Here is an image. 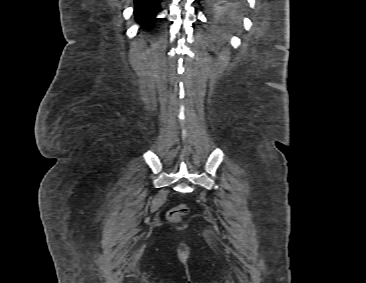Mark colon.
<instances>
[{"label":"colon","instance_id":"5ec220e1","mask_svg":"<svg viewBox=\"0 0 366 283\" xmlns=\"http://www.w3.org/2000/svg\"><path fill=\"white\" fill-rule=\"evenodd\" d=\"M189 213V209L185 204H180L177 207L171 209L168 213V219L170 222H179L182 217Z\"/></svg>","mask_w":366,"mask_h":283}]
</instances>
